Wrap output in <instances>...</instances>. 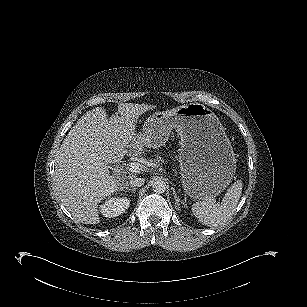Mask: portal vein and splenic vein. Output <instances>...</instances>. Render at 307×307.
<instances>
[{"mask_svg": "<svg viewBox=\"0 0 307 307\" xmlns=\"http://www.w3.org/2000/svg\"><path fill=\"white\" fill-rule=\"evenodd\" d=\"M142 170V165L140 163L134 162L129 164V171L133 173H139Z\"/></svg>", "mask_w": 307, "mask_h": 307, "instance_id": "18ae733b", "label": "portal vein and splenic vein"}]
</instances>
